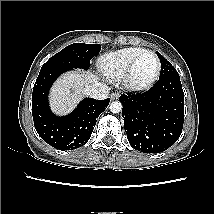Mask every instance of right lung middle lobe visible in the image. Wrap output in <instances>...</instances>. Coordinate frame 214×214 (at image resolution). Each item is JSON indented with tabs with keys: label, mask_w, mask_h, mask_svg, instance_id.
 Masks as SVG:
<instances>
[{
	"label": "right lung middle lobe",
	"mask_w": 214,
	"mask_h": 214,
	"mask_svg": "<svg viewBox=\"0 0 214 214\" xmlns=\"http://www.w3.org/2000/svg\"><path fill=\"white\" fill-rule=\"evenodd\" d=\"M100 44L74 43L52 56L41 68L47 69H89L90 60L99 54Z\"/></svg>",
	"instance_id": "dd1d6c3e"
}]
</instances>
